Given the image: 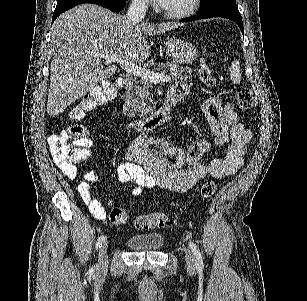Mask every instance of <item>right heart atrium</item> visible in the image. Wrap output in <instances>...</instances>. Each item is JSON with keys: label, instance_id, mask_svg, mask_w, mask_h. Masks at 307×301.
<instances>
[{"label": "right heart atrium", "instance_id": "d8ad5b80", "mask_svg": "<svg viewBox=\"0 0 307 301\" xmlns=\"http://www.w3.org/2000/svg\"><path fill=\"white\" fill-rule=\"evenodd\" d=\"M141 5H142V7H149L150 2H149V0H142Z\"/></svg>", "mask_w": 307, "mask_h": 301}]
</instances>
